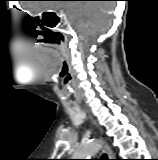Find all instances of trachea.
Wrapping results in <instances>:
<instances>
[{
	"mask_svg": "<svg viewBox=\"0 0 158 160\" xmlns=\"http://www.w3.org/2000/svg\"><path fill=\"white\" fill-rule=\"evenodd\" d=\"M102 160H109L106 154L103 155Z\"/></svg>",
	"mask_w": 158,
	"mask_h": 160,
	"instance_id": "trachea-1",
	"label": "trachea"
}]
</instances>
